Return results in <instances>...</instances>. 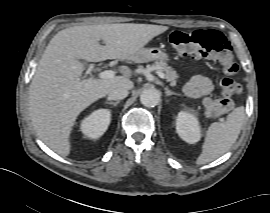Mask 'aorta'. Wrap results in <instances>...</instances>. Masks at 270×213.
Returning <instances> with one entry per match:
<instances>
[{"instance_id": "1", "label": "aorta", "mask_w": 270, "mask_h": 213, "mask_svg": "<svg viewBox=\"0 0 270 213\" xmlns=\"http://www.w3.org/2000/svg\"><path fill=\"white\" fill-rule=\"evenodd\" d=\"M160 100L158 90L154 88L145 89L140 95L141 103L146 107H155Z\"/></svg>"}]
</instances>
